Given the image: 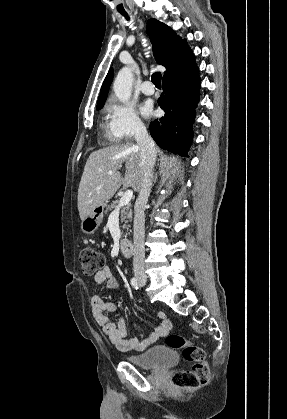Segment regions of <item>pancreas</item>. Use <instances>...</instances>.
<instances>
[{"instance_id": "obj_1", "label": "pancreas", "mask_w": 287, "mask_h": 419, "mask_svg": "<svg viewBox=\"0 0 287 419\" xmlns=\"http://www.w3.org/2000/svg\"><path fill=\"white\" fill-rule=\"evenodd\" d=\"M119 204V201H113L111 204H109L106 208V212H109L111 210H114L117 208ZM132 220V209L131 204L128 203L127 205L123 206L120 212V221L121 223L124 222L123 229L129 230L130 226L128 225V222Z\"/></svg>"}]
</instances>
